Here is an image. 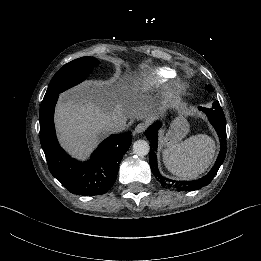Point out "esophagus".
Masks as SVG:
<instances>
[{"mask_svg": "<svg viewBox=\"0 0 261 261\" xmlns=\"http://www.w3.org/2000/svg\"><path fill=\"white\" fill-rule=\"evenodd\" d=\"M147 129V124L145 123H140L136 126L135 132L136 133H143Z\"/></svg>", "mask_w": 261, "mask_h": 261, "instance_id": "1", "label": "esophagus"}]
</instances>
